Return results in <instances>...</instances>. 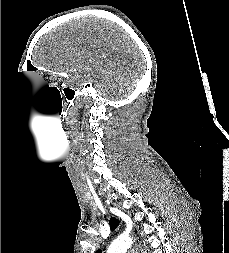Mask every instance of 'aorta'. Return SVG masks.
Here are the masks:
<instances>
[{
  "label": "aorta",
  "instance_id": "1",
  "mask_svg": "<svg viewBox=\"0 0 229 253\" xmlns=\"http://www.w3.org/2000/svg\"><path fill=\"white\" fill-rule=\"evenodd\" d=\"M130 241L124 238H117L109 246L107 253H126L130 247ZM146 253V252H145Z\"/></svg>",
  "mask_w": 229,
  "mask_h": 253
}]
</instances>
